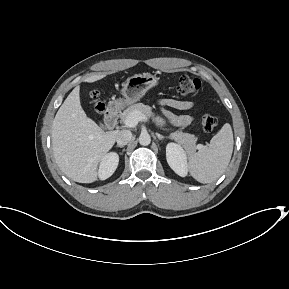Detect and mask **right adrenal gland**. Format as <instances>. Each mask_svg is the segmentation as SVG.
<instances>
[{
    "mask_svg": "<svg viewBox=\"0 0 289 289\" xmlns=\"http://www.w3.org/2000/svg\"><path fill=\"white\" fill-rule=\"evenodd\" d=\"M116 147L123 148V146H120V145H116Z\"/></svg>",
    "mask_w": 289,
    "mask_h": 289,
    "instance_id": "obj_1",
    "label": "right adrenal gland"
}]
</instances>
